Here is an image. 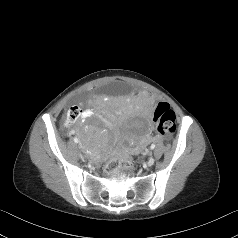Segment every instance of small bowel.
Wrapping results in <instances>:
<instances>
[{"mask_svg":"<svg viewBox=\"0 0 238 238\" xmlns=\"http://www.w3.org/2000/svg\"><path fill=\"white\" fill-rule=\"evenodd\" d=\"M146 107H147V109H148V111H149L150 113H152V112L154 113V110H155V108H156V106L154 107L151 102H148V103L146 104Z\"/></svg>","mask_w":238,"mask_h":238,"instance_id":"1","label":"small bowel"}]
</instances>
